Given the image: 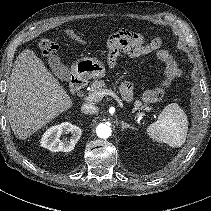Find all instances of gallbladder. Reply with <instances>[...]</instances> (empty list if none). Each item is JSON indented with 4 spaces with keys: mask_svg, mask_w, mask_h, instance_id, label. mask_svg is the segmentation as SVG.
<instances>
[{
    "mask_svg": "<svg viewBox=\"0 0 211 211\" xmlns=\"http://www.w3.org/2000/svg\"><path fill=\"white\" fill-rule=\"evenodd\" d=\"M48 63L53 73L58 77H60L64 72H67V68L62 64L61 59L56 54H49Z\"/></svg>",
    "mask_w": 211,
    "mask_h": 211,
    "instance_id": "1",
    "label": "gallbladder"
}]
</instances>
